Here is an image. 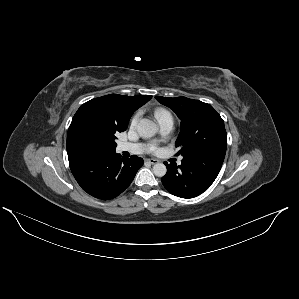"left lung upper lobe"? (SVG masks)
Here are the masks:
<instances>
[{
    "mask_svg": "<svg viewBox=\"0 0 299 299\" xmlns=\"http://www.w3.org/2000/svg\"><path fill=\"white\" fill-rule=\"evenodd\" d=\"M171 108L181 119L180 134L175 146L183 157L201 150H226L227 134L224 121L207 103L186 97H155Z\"/></svg>",
    "mask_w": 299,
    "mask_h": 299,
    "instance_id": "left-lung-upper-lobe-1",
    "label": "left lung upper lobe"
}]
</instances>
